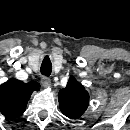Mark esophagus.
I'll return each instance as SVG.
<instances>
[{
    "label": "esophagus",
    "mask_w": 130,
    "mask_h": 130,
    "mask_svg": "<svg viewBox=\"0 0 130 130\" xmlns=\"http://www.w3.org/2000/svg\"><path fill=\"white\" fill-rule=\"evenodd\" d=\"M41 83L45 88H49L51 86V80L48 77H42Z\"/></svg>",
    "instance_id": "34e87169"
}]
</instances>
